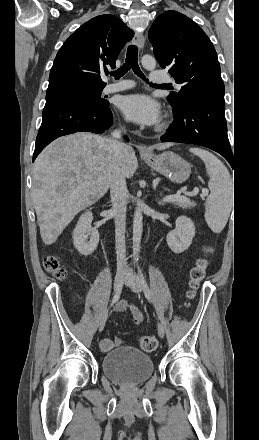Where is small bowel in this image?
Returning <instances> with one entry per match:
<instances>
[{"label": "small bowel", "instance_id": "c3829d8e", "mask_svg": "<svg viewBox=\"0 0 259 440\" xmlns=\"http://www.w3.org/2000/svg\"><path fill=\"white\" fill-rule=\"evenodd\" d=\"M127 309H130V311L132 312L133 322H134L136 325H141V324L143 323V320H144L141 311H140L137 307L128 304L126 301H122V302H120V304L118 305V311H119V312H124V311H126ZM118 342H119V341H118ZM113 346H114V342H113L111 339H109V338H105V339H103L102 342H101V349H102L103 351H108V350H110Z\"/></svg>", "mask_w": 259, "mask_h": 440}]
</instances>
